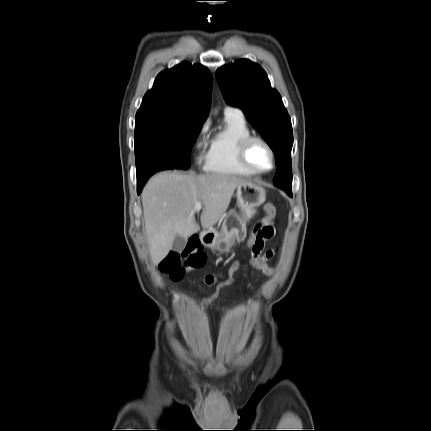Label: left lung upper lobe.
<instances>
[{"label": "left lung upper lobe", "mask_w": 431, "mask_h": 431, "mask_svg": "<svg viewBox=\"0 0 431 431\" xmlns=\"http://www.w3.org/2000/svg\"><path fill=\"white\" fill-rule=\"evenodd\" d=\"M218 83L227 102L242 109L249 122L276 155L274 185L291 192V120L279 93L271 88L264 70L249 60H237L219 68Z\"/></svg>", "instance_id": "1"}]
</instances>
